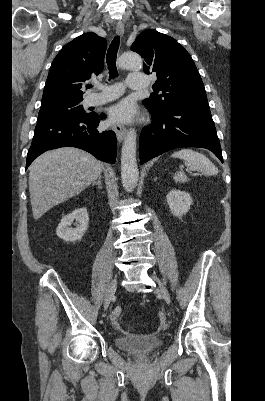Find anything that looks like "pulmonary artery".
<instances>
[{"instance_id": "obj_1", "label": "pulmonary artery", "mask_w": 265, "mask_h": 401, "mask_svg": "<svg viewBox=\"0 0 265 401\" xmlns=\"http://www.w3.org/2000/svg\"><path fill=\"white\" fill-rule=\"evenodd\" d=\"M146 81L147 78L143 72H131L128 77V88L130 90H145L147 87ZM107 87L104 88V92H101V95L90 96L89 102L94 105L104 104L118 98L122 94V91L118 90V88H121V83L110 81Z\"/></svg>"}]
</instances>
